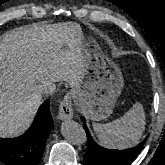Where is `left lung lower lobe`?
<instances>
[{"instance_id": "1", "label": "left lung lower lobe", "mask_w": 165, "mask_h": 165, "mask_svg": "<svg viewBox=\"0 0 165 165\" xmlns=\"http://www.w3.org/2000/svg\"><path fill=\"white\" fill-rule=\"evenodd\" d=\"M83 127L87 134V151L84 154V165H129L141 151L146 139L139 145L119 150L105 149L95 143L85 124V118L81 116Z\"/></svg>"}]
</instances>
